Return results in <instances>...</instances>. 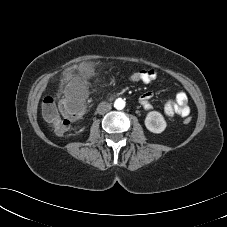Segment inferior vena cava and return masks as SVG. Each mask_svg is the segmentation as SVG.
I'll list each match as a JSON object with an SVG mask.
<instances>
[{"label":"inferior vena cava","instance_id":"obj_1","mask_svg":"<svg viewBox=\"0 0 227 227\" xmlns=\"http://www.w3.org/2000/svg\"><path fill=\"white\" fill-rule=\"evenodd\" d=\"M112 108V105L108 102H101L97 107V113L98 114H105L109 112Z\"/></svg>","mask_w":227,"mask_h":227}]
</instances>
